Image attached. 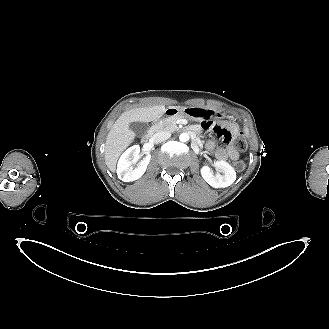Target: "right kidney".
Returning <instances> with one entry per match:
<instances>
[{
    "label": "right kidney",
    "mask_w": 329,
    "mask_h": 329,
    "mask_svg": "<svg viewBox=\"0 0 329 329\" xmlns=\"http://www.w3.org/2000/svg\"><path fill=\"white\" fill-rule=\"evenodd\" d=\"M140 154V146L133 145L129 147L119 158L117 164L118 178L124 182L135 181L139 179L146 171L150 162L151 155L149 153L139 162L137 167L132 165L137 161Z\"/></svg>",
    "instance_id": "right-kidney-1"
}]
</instances>
